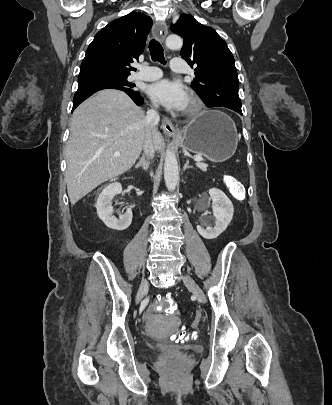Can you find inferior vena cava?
Here are the masks:
<instances>
[{"mask_svg": "<svg viewBox=\"0 0 332 405\" xmlns=\"http://www.w3.org/2000/svg\"><path fill=\"white\" fill-rule=\"evenodd\" d=\"M158 105L156 103L153 104V107L147 111L145 117V124L147 126L148 132L143 144V151L144 154L149 158H153L155 154V147L153 143V134L156 130V126L160 121V116L157 112Z\"/></svg>", "mask_w": 332, "mask_h": 405, "instance_id": "obj_1", "label": "inferior vena cava"}]
</instances>
